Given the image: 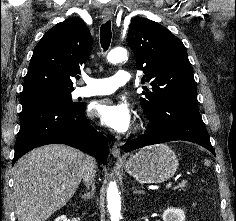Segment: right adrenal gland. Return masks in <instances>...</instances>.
Instances as JSON below:
<instances>
[{"mask_svg":"<svg viewBox=\"0 0 236 221\" xmlns=\"http://www.w3.org/2000/svg\"><path fill=\"white\" fill-rule=\"evenodd\" d=\"M94 189H95L94 184H92V185H91V191L86 192V193H84V194L81 195L82 200H85V201H86V200L92 198V196H93V194H94Z\"/></svg>","mask_w":236,"mask_h":221,"instance_id":"2a0ac1e0","label":"right adrenal gland"}]
</instances>
